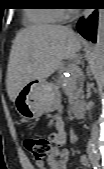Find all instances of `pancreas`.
<instances>
[{"label": "pancreas", "mask_w": 104, "mask_h": 169, "mask_svg": "<svg viewBox=\"0 0 104 169\" xmlns=\"http://www.w3.org/2000/svg\"><path fill=\"white\" fill-rule=\"evenodd\" d=\"M63 70H65V71H69V67H65ZM80 74V70H79V72L77 73V75H75V78H74V80H73V82L75 83L77 80V76ZM62 79H64V78H62ZM83 98V96H82V92L80 91V90H78V89H75V92H74V99H75V102H79V99H82Z\"/></svg>", "instance_id": "1"}]
</instances>
